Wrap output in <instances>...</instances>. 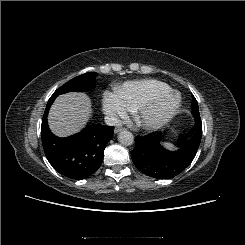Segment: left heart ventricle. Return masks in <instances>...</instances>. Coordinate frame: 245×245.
<instances>
[{
  "label": "left heart ventricle",
  "mask_w": 245,
  "mask_h": 245,
  "mask_svg": "<svg viewBox=\"0 0 245 245\" xmlns=\"http://www.w3.org/2000/svg\"><path fill=\"white\" fill-rule=\"evenodd\" d=\"M174 101V99L173 100H171V101H169V102H167L166 104H165V106L164 107H167L168 105H170L172 102Z\"/></svg>",
  "instance_id": "obj_1"
}]
</instances>
